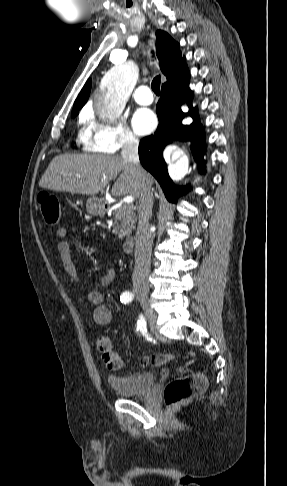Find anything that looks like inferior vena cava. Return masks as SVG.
<instances>
[{
	"mask_svg": "<svg viewBox=\"0 0 287 486\" xmlns=\"http://www.w3.org/2000/svg\"><path fill=\"white\" fill-rule=\"evenodd\" d=\"M138 146V140L132 135H127L121 151L122 158L135 166L137 178L141 182L138 225L135 235V267L132 278L135 290L148 289L153 243V236L149 228V219L152 215L153 194L151 192V186L146 182V172L139 163Z\"/></svg>",
	"mask_w": 287,
	"mask_h": 486,
	"instance_id": "602c4592",
	"label": "inferior vena cava"
}]
</instances>
